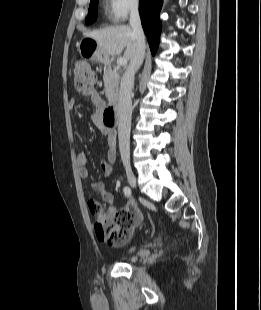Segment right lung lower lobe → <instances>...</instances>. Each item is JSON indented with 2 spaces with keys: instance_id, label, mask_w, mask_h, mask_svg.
<instances>
[{
  "instance_id": "right-lung-lower-lobe-1",
  "label": "right lung lower lobe",
  "mask_w": 261,
  "mask_h": 310,
  "mask_svg": "<svg viewBox=\"0 0 261 310\" xmlns=\"http://www.w3.org/2000/svg\"><path fill=\"white\" fill-rule=\"evenodd\" d=\"M163 0H140L139 12L142 27L147 35V41L153 55H155L161 33L159 14Z\"/></svg>"
}]
</instances>
